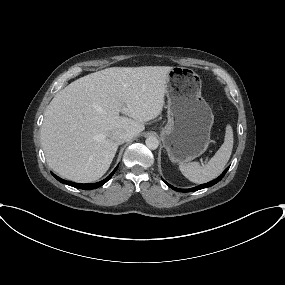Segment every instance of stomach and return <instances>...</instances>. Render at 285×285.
Listing matches in <instances>:
<instances>
[{"label": "stomach", "mask_w": 285, "mask_h": 285, "mask_svg": "<svg viewBox=\"0 0 285 285\" xmlns=\"http://www.w3.org/2000/svg\"><path fill=\"white\" fill-rule=\"evenodd\" d=\"M201 87L200 76L191 69L173 67L168 73V122L160 136L173 163L190 162L203 154L210 143L214 115L201 95Z\"/></svg>", "instance_id": "stomach-1"}]
</instances>
